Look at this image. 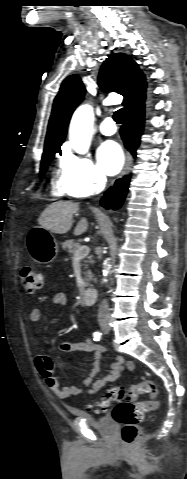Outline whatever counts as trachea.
<instances>
[{"mask_svg":"<svg viewBox=\"0 0 187 479\" xmlns=\"http://www.w3.org/2000/svg\"><path fill=\"white\" fill-rule=\"evenodd\" d=\"M124 110L121 108L114 112L113 119L117 124H121L123 122Z\"/></svg>","mask_w":187,"mask_h":479,"instance_id":"obj_1","label":"trachea"}]
</instances>
